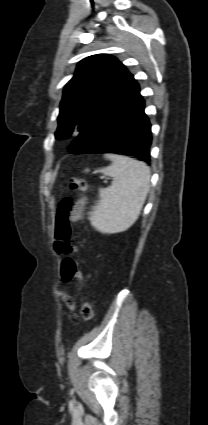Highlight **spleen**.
<instances>
[{
	"label": "spleen",
	"instance_id": "spleen-1",
	"mask_svg": "<svg viewBox=\"0 0 208 425\" xmlns=\"http://www.w3.org/2000/svg\"><path fill=\"white\" fill-rule=\"evenodd\" d=\"M105 157L112 164L94 173L101 172L113 181L109 187L99 189L100 200L89 220L101 233L112 234L127 230L138 219L149 192L151 175L142 161L116 154Z\"/></svg>",
	"mask_w": 208,
	"mask_h": 425
}]
</instances>
